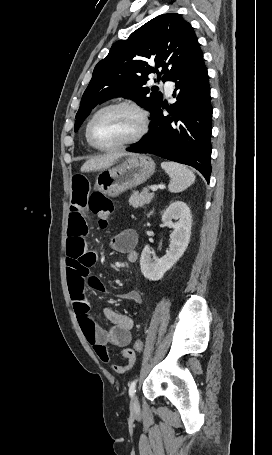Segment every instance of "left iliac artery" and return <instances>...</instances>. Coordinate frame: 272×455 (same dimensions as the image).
Wrapping results in <instances>:
<instances>
[{
	"label": "left iliac artery",
	"mask_w": 272,
	"mask_h": 455,
	"mask_svg": "<svg viewBox=\"0 0 272 455\" xmlns=\"http://www.w3.org/2000/svg\"><path fill=\"white\" fill-rule=\"evenodd\" d=\"M136 383H137V379H135L129 386V395H130V397H133L134 393L136 392Z\"/></svg>",
	"instance_id": "obj_1"
}]
</instances>
